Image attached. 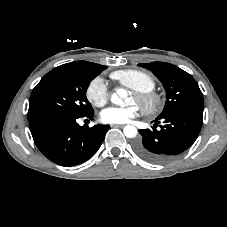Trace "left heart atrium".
Returning <instances> with one entry per match:
<instances>
[{"mask_svg":"<svg viewBox=\"0 0 227 227\" xmlns=\"http://www.w3.org/2000/svg\"><path fill=\"white\" fill-rule=\"evenodd\" d=\"M139 114L135 105L128 107H108L101 112V120L109 124H124Z\"/></svg>","mask_w":227,"mask_h":227,"instance_id":"39dd6f15","label":"left heart atrium"}]
</instances>
